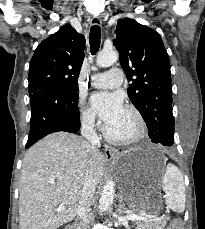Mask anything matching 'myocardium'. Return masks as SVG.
<instances>
[{"instance_id":"myocardium-1","label":"myocardium","mask_w":205,"mask_h":229,"mask_svg":"<svg viewBox=\"0 0 205 229\" xmlns=\"http://www.w3.org/2000/svg\"><path fill=\"white\" fill-rule=\"evenodd\" d=\"M125 110H127L129 113L132 114V116L135 119L136 122V130L135 132L127 137H117L112 135L108 129L107 126L103 127V135L111 143L114 144H121V145H127V144H132L137 141H139L145 134V129H146V124L145 120L140 113V111L133 105H127L125 107Z\"/></svg>"}]
</instances>
